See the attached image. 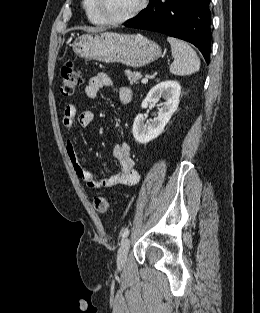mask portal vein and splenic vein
I'll return each mask as SVG.
<instances>
[{
  "instance_id": "18ae733b",
  "label": "portal vein and splenic vein",
  "mask_w": 260,
  "mask_h": 313,
  "mask_svg": "<svg viewBox=\"0 0 260 313\" xmlns=\"http://www.w3.org/2000/svg\"><path fill=\"white\" fill-rule=\"evenodd\" d=\"M141 82H142L143 84L148 83V78H143V79L141 80Z\"/></svg>"
}]
</instances>
